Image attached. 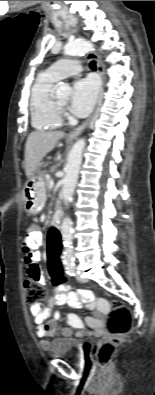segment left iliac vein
<instances>
[{
	"instance_id": "left-iliac-vein-1",
	"label": "left iliac vein",
	"mask_w": 155,
	"mask_h": 395,
	"mask_svg": "<svg viewBox=\"0 0 155 395\" xmlns=\"http://www.w3.org/2000/svg\"><path fill=\"white\" fill-rule=\"evenodd\" d=\"M76 279H77L79 282H81V283H85V282H86V280L83 279L82 277H80L78 274H76Z\"/></svg>"
}]
</instances>
